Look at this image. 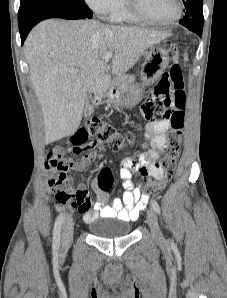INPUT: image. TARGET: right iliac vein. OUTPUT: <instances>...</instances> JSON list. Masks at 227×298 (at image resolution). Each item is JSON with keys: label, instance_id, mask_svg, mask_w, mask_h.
Masks as SVG:
<instances>
[{"label": "right iliac vein", "instance_id": "63e3f726", "mask_svg": "<svg viewBox=\"0 0 227 298\" xmlns=\"http://www.w3.org/2000/svg\"><path fill=\"white\" fill-rule=\"evenodd\" d=\"M74 223L72 218H66L63 222L62 232H61V244L62 248H67L70 246L73 239Z\"/></svg>", "mask_w": 227, "mask_h": 298}]
</instances>
